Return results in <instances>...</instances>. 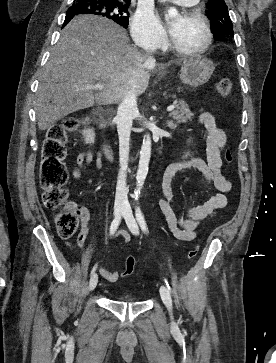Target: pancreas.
Masks as SVG:
<instances>
[{
    "mask_svg": "<svg viewBox=\"0 0 276 363\" xmlns=\"http://www.w3.org/2000/svg\"><path fill=\"white\" fill-rule=\"evenodd\" d=\"M175 107L176 109L172 111L171 116L177 123H186L188 120H192L194 114L184 101H179Z\"/></svg>",
    "mask_w": 276,
    "mask_h": 363,
    "instance_id": "pancreas-1",
    "label": "pancreas"
}]
</instances>
